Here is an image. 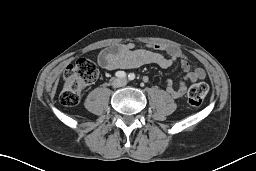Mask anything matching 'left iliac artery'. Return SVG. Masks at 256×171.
<instances>
[{"label": "left iliac artery", "mask_w": 256, "mask_h": 171, "mask_svg": "<svg viewBox=\"0 0 256 171\" xmlns=\"http://www.w3.org/2000/svg\"><path fill=\"white\" fill-rule=\"evenodd\" d=\"M128 79H129V80H134V79H135V74H134V73H130V74L128 75Z\"/></svg>", "instance_id": "44dca946"}]
</instances>
